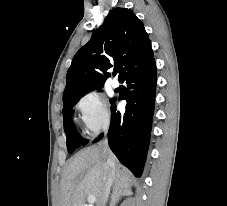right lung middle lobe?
<instances>
[{
    "mask_svg": "<svg viewBox=\"0 0 227 206\" xmlns=\"http://www.w3.org/2000/svg\"><path fill=\"white\" fill-rule=\"evenodd\" d=\"M100 88H95L92 90H98ZM81 93L69 98L63 99V119H64V130L67 136V148L68 152H74L78 147L85 145L88 141L83 139L76 131L73 123V107L76 102L85 94Z\"/></svg>",
    "mask_w": 227,
    "mask_h": 206,
    "instance_id": "right-lung-middle-lobe-1",
    "label": "right lung middle lobe"
}]
</instances>
